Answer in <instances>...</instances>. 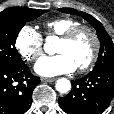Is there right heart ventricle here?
<instances>
[{
    "mask_svg": "<svg viewBox=\"0 0 114 114\" xmlns=\"http://www.w3.org/2000/svg\"><path fill=\"white\" fill-rule=\"evenodd\" d=\"M80 22L70 17H57L43 24L46 36H61L69 29L79 25Z\"/></svg>",
    "mask_w": 114,
    "mask_h": 114,
    "instance_id": "1",
    "label": "right heart ventricle"
}]
</instances>
